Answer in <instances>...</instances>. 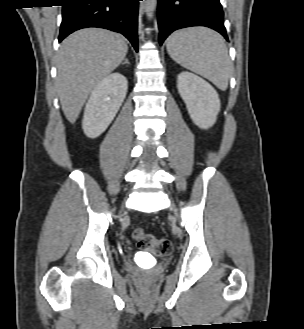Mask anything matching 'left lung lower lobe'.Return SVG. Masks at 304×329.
I'll list each match as a JSON object with an SVG mask.
<instances>
[{"label": "left lung lower lobe", "mask_w": 304, "mask_h": 329, "mask_svg": "<svg viewBox=\"0 0 304 329\" xmlns=\"http://www.w3.org/2000/svg\"><path fill=\"white\" fill-rule=\"evenodd\" d=\"M223 15L220 0H158L159 43L173 31L190 26L212 28L228 40Z\"/></svg>", "instance_id": "obj_1"}]
</instances>
